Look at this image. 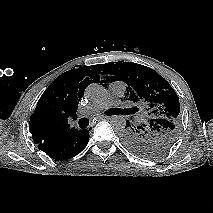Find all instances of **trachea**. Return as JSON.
Returning <instances> with one entry per match:
<instances>
[{
	"mask_svg": "<svg viewBox=\"0 0 213 213\" xmlns=\"http://www.w3.org/2000/svg\"><path fill=\"white\" fill-rule=\"evenodd\" d=\"M128 111L124 110V109H109L106 111L107 115H117V114H121L124 115L126 114ZM80 128L84 129L89 125V120L87 118H82L79 120L78 122Z\"/></svg>",
	"mask_w": 213,
	"mask_h": 213,
	"instance_id": "trachea-1",
	"label": "trachea"
}]
</instances>
